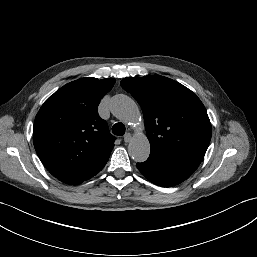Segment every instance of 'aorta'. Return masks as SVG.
Here are the masks:
<instances>
[{
  "label": "aorta",
  "instance_id": "762f6f07",
  "mask_svg": "<svg viewBox=\"0 0 257 257\" xmlns=\"http://www.w3.org/2000/svg\"><path fill=\"white\" fill-rule=\"evenodd\" d=\"M110 110L116 118L130 126L139 122L140 112L138 106L134 100L126 95H115L111 99ZM128 152L135 162L146 161L150 154V143L148 138L144 135L133 137L128 145Z\"/></svg>",
  "mask_w": 257,
  "mask_h": 257
}]
</instances>
